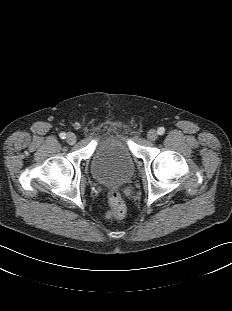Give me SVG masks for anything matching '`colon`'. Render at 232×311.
<instances>
[{
  "label": "colon",
  "mask_w": 232,
  "mask_h": 311,
  "mask_svg": "<svg viewBox=\"0 0 232 311\" xmlns=\"http://www.w3.org/2000/svg\"><path fill=\"white\" fill-rule=\"evenodd\" d=\"M109 209L106 213L108 219H118L124 216L126 206L120 192L116 189H111L108 192Z\"/></svg>",
  "instance_id": "obj_1"
}]
</instances>
